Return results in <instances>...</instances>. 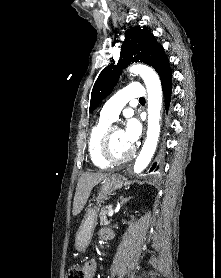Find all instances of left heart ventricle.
Wrapping results in <instances>:
<instances>
[{"label":"left heart ventricle","mask_w":221,"mask_h":278,"mask_svg":"<svg viewBox=\"0 0 221 278\" xmlns=\"http://www.w3.org/2000/svg\"><path fill=\"white\" fill-rule=\"evenodd\" d=\"M131 147L124 141L122 131L113 129L110 138V154L115 158H122L129 153Z\"/></svg>","instance_id":"obj_1"}]
</instances>
